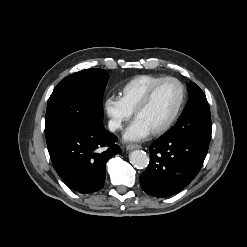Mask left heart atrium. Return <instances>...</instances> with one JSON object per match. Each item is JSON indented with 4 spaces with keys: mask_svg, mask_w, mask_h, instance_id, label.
<instances>
[{
    "mask_svg": "<svg viewBox=\"0 0 247 247\" xmlns=\"http://www.w3.org/2000/svg\"><path fill=\"white\" fill-rule=\"evenodd\" d=\"M151 131L138 119H135L125 130L124 138L129 141H137L147 138Z\"/></svg>",
    "mask_w": 247,
    "mask_h": 247,
    "instance_id": "left-heart-atrium-1",
    "label": "left heart atrium"
}]
</instances>
